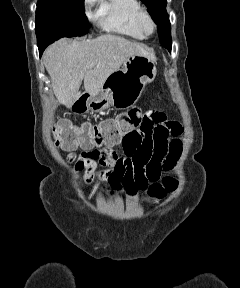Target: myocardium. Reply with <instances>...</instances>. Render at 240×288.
Masks as SVG:
<instances>
[{
	"instance_id": "1",
	"label": "myocardium",
	"mask_w": 240,
	"mask_h": 288,
	"mask_svg": "<svg viewBox=\"0 0 240 288\" xmlns=\"http://www.w3.org/2000/svg\"><path fill=\"white\" fill-rule=\"evenodd\" d=\"M144 19H148L151 24H152V31L151 32H146L143 28V21ZM135 25L137 27V29L145 36V37H149L151 35H153L156 30H157V23L155 18L153 17V15L145 8H141L135 17Z\"/></svg>"
}]
</instances>
